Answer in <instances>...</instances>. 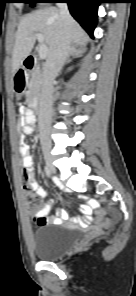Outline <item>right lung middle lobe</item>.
<instances>
[{
	"label": "right lung middle lobe",
	"instance_id": "right-lung-middle-lobe-1",
	"mask_svg": "<svg viewBox=\"0 0 136 296\" xmlns=\"http://www.w3.org/2000/svg\"><path fill=\"white\" fill-rule=\"evenodd\" d=\"M46 1L47 0H20V2L22 3H29V4L42 3Z\"/></svg>",
	"mask_w": 136,
	"mask_h": 296
}]
</instances>
